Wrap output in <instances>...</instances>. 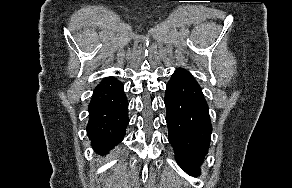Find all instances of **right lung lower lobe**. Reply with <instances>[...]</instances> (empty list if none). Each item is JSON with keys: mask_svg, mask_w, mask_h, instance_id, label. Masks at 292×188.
I'll use <instances>...</instances> for the list:
<instances>
[{"mask_svg": "<svg viewBox=\"0 0 292 188\" xmlns=\"http://www.w3.org/2000/svg\"><path fill=\"white\" fill-rule=\"evenodd\" d=\"M88 112L87 134L93 148L108 152L123 140L129 117L120 81L113 77L103 79L94 89Z\"/></svg>", "mask_w": 292, "mask_h": 188, "instance_id": "1", "label": "right lung lower lobe"}]
</instances>
